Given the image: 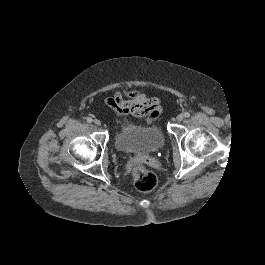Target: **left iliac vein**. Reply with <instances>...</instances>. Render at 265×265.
<instances>
[{
	"mask_svg": "<svg viewBox=\"0 0 265 265\" xmlns=\"http://www.w3.org/2000/svg\"><path fill=\"white\" fill-rule=\"evenodd\" d=\"M183 119H184V115L183 114H178L177 117H176V120L178 122H181Z\"/></svg>",
	"mask_w": 265,
	"mask_h": 265,
	"instance_id": "4c4485c4",
	"label": "left iliac vein"
}]
</instances>
